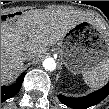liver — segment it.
<instances>
[{"instance_id": "liver-1", "label": "liver", "mask_w": 109, "mask_h": 109, "mask_svg": "<svg viewBox=\"0 0 109 109\" xmlns=\"http://www.w3.org/2000/svg\"><path fill=\"white\" fill-rule=\"evenodd\" d=\"M91 21L74 10L36 9L24 12L13 24L1 26V81L12 82L23 67L22 54L31 52L34 58L48 46L62 40L81 21Z\"/></svg>"}]
</instances>
